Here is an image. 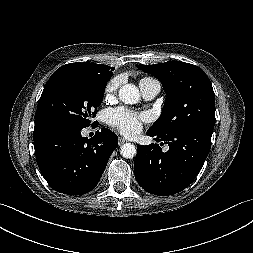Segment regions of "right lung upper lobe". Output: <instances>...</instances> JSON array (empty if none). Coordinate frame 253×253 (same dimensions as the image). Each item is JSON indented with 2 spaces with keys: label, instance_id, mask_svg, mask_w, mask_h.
<instances>
[{
  "label": "right lung upper lobe",
  "instance_id": "right-lung-upper-lobe-1",
  "mask_svg": "<svg viewBox=\"0 0 253 253\" xmlns=\"http://www.w3.org/2000/svg\"><path fill=\"white\" fill-rule=\"evenodd\" d=\"M64 68L67 67H76V68H82V69H87V70H92L95 71L99 74L103 75H109L112 77L113 73L112 70L114 69L113 67L103 65V64H96V63H70L62 66Z\"/></svg>",
  "mask_w": 253,
  "mask_h": 253
}]
</instances>
